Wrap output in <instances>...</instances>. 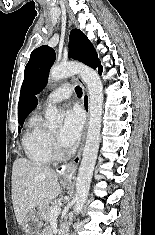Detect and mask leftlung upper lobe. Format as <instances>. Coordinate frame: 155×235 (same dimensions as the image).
I'll list each match as a JSON object with an SVG mask.
<instances>
[{"instance_id": "5c2ea615", "label": "left lung upper lobe", "mask_w": 155, "mask_h": 235, "mask_svg": "<svg viewBox=\"0 0 155 235\" xmlns=\"http://www.w3.org/2000/svg\"><path fill=\"white\" fill-rule=\"evenodd\" d=\"M69 39V57L82 61L94 69L102 68L92 43L79 29H73L70 32ZM55 58L54 49L48 45H42L31 53L29 62L25 67L24 81L20 91L18 107L20 114L23 113L28 99L32 95L38 94L46 85L49 70Z\"/></svg>"}]
</instances>
